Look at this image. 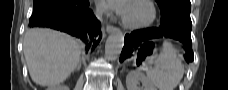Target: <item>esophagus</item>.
I'll return each mask as SVG.
<instances>
[{
	"mask_svg": "<svg viewBox=\"0 0 228 90\" xmlns=\"http://www.w3.org/2000/svg\"><path fill=\"white\" fill-rule=\"evenodd\" d=\"M106 31H107V33L111 34V33L119 32V29L117 27L112 26V25H107Z\"/></svg>",
	"mask_w": 228,
	"mask_h": 90,
	"instance_id": "esophagus-1",
	"label": "esophagus"
}]
</instances>
